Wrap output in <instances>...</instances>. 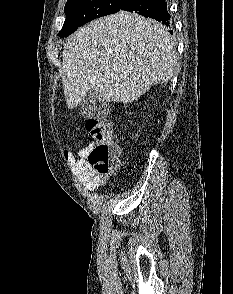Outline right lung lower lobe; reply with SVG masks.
I'll return each instance as SVG.
<instances>
[{
	"label": "right lung lower lobe",
	"instance_id": "obj_1",
	"mask_svg": "<svg viewBox=\"0 0 233 294\" xmlns=\"http://www.w3.org/2000/svg\"><path fill=\"white\" fill-rule=\"evenodd\" d=\"M120 10L135 12L170 26V15L165 0H126ZM173 33V31H170Z\"/></svg>",
	"mask_w": 233,
	"mask_h": 294
}]
</instances>
